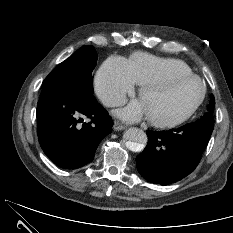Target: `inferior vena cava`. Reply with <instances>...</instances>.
I'll list each match as a JSON object with an SVG mask.
<instances>
[{
  "label": "inferior vena cava",
  "mask_w": 233,
  "mask_h": 233,
  "mask_svg": "<svg viewBox=\"0 0 233 233\" xmlns=\"http://www.w3.org/2000/svg\"><path fill=\"white\" fill-rule=\"evenodd\" d=\"M125 102V99L121 95H112L103 100L104 105L108 107H115L123 105Z\"/></svg>",
  "instance_id": "602c4592"
}]
</instances>
